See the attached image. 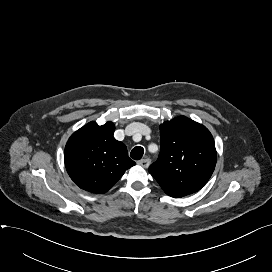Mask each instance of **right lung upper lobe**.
<instances>
[{"mask_svg": "<svg viewBox=\"0 0 272 272\" xmlns=\"http://www.w3.org/2000/svg\"><path fill=\"white\" fill-rule=\"evenodd\" d=\"M115 126L90 122L74 132L64 152L66 170L81 189L105 193L135 165L124 143L115 140Z\"/></svg>", "mask_w": 272, "mask_h": 272, "instance_id": "obj_1", "label": "right lung upper lobe"}]
</instances>
